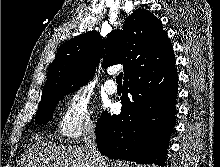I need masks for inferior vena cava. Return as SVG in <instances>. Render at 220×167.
<instances>
[{
  "label": "inferior vena cava",
  "mask_w": 220,
  "mask_h": 167,
  "mask_svg": "<svg viewBox=\"0 0 220 167\" xmlns=\"http://www.w3.org/2000/svg\"><path fill=\"white\" fill-rule=\"evenodd\" d=\"M84 141H85V149L91 155L95 167H108V164L103 159V156L97 150L95 129L93 126L87 127L85 131Z\"/></svg>",
  "instance_id": "inferior-vena-cava-1"
}]
</instances>
